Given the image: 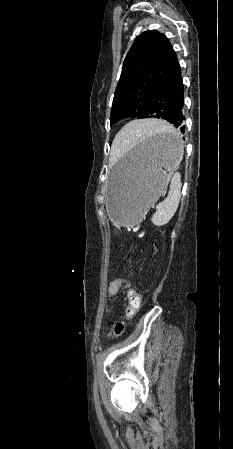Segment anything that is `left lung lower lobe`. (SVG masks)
Listing matches in <instances>:
<instances>
[{"instance_id":"0a47b994","label":"left lung lower lobe","mask_w":233,"mask_h":449,"mask_svg":"<svg viewBox=\"0 0 233 449\" xmlns=\"http://www.w3.org/2000/svg\"><path fill=\"white\" fill-rule=\"evenodd\" d=\"M183 106V82L180 66H178L154 95L144 118L167 120L184 133L185 126L183 121L185 117L183 116ZM172 140H175V138L168 139L169 142Z\"/></svg>"}]
</instances>
